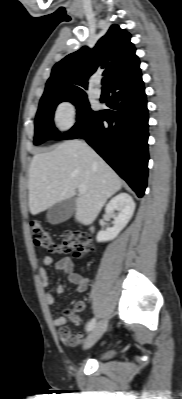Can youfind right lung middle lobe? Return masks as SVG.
Listing matches in <instances>:
<instances>
[{
	"label": "right lung middle lobe",
	"instance_id": "right-lung-middle-lobe-1",
	"mask_svg": "<svg viewBox=\"0 0 182 399\" xmlns=\"http://www.w3.org/2000/svg\"><path fill=\"white\" fill-rule=\"evenodd\" d=\"M63 101L72 102L78 109L77 123L70 131L81 130L94 113V111L89 107L86 95H63L40 100L39 109L35 119V145H39L49 139L60 140L67 134L59 133L53 124L55 108Z\"/></svg>",
	"mask_w": 182,
	"mask_h": 399
}]
</instances>
